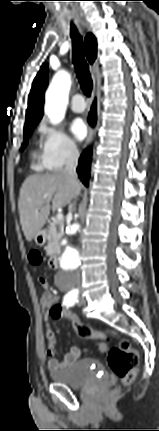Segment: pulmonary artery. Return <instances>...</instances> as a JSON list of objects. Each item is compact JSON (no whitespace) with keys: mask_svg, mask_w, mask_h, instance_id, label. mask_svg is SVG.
<instances>
[{"mask_svg":"<svg viewBox=\"0 0 159 431\" xmlns=\"http://www.w3.org/2000/svg\"><path fill=\"white\" fill-rule=\"evenodd\" d=\"M70 107L74 112H77V113L83 112L86 108V103L84 101L83 96L79 93L73 95L70 102Z\"/></svg>","mask_w":159,"mask_h":431,"instance_id":"e3ab8cb5","label":"pulmonary artery"}]
</instances>
